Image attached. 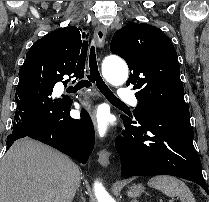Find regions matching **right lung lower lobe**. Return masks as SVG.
I'll return each mask as SVG.
<instances>
[{
	"label": "right lung lower lobe",
	"mask_w": 209,
	"mask_h": 202,
	"mask_svg": "<svg viewBox=\"0 0 209 202\" xmlns=\"http://www.w3.org/2000/svg\"><path fill=\"white\" fill-rule=\"evenodd\" d=\"M40 77L19 80L15 101L17 109L12 133L7 137V149L19 138L31 137L50 145L80 163H86L94 146V128L89 115L81 120L70 116L73 100L56 97L53 87Z\"/></svg>",
	"instance_id": "obj_1"
}]
</instances>
